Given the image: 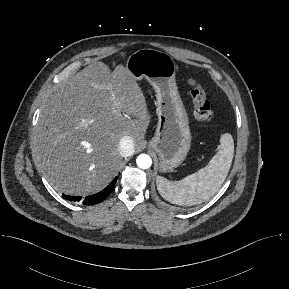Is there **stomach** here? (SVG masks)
<instances>
[{"mask_svg": "<svg viewBox=\"0 0 289 289\" xmlns=\"http://www.w3.org/2000/svg\"><path fill=\"white\" fill-rule=\"evenodd\" d=\"M125 68L136 80H148L156 92L158 124L149 147L159 156L160 171L172 172L191 145L188 116L176 85L177 66L169 54L143 48L128 57Z\"/></svg>", "mask_w": 289, "mask_h": 289, "instance_id": "stomach-1", "label": "stomach"}]
</instances>
